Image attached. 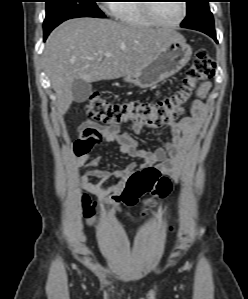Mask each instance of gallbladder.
Masks as SVG:
<instances>
[{
	"mask_svg": "<svg viewBox=\"0 0 248 299\" xmlns=\"http://www.w3.org/2000/svg\"><path fill=\"white\" fill-rule=\"evenodd\" d=\"M74 101L82 103L87 100L92 92V85L82 79H75L71 86Z\"/></svg>",
	"mask_w": 248,
	"mask_h": 299,
	"instance_id": "obj_1",
	"label": "gallbladder"
}]
</instances>
